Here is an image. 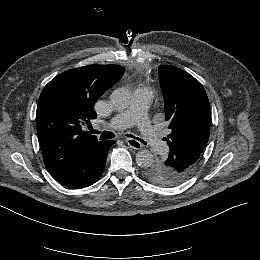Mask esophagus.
Returning a JSON list of instances; mask_svg holds the SVG:
<instances>
[{
    "label": "esophagus",
    "mask_w": 260,
    "mask_h": 260,
    "mask_svg": "<svg viewBox=\"0 0 260 260\" xmlns=\"http://www.w3.org/2000/svg\"><path fill=\"white\" fill-rule=\"evenodd\" d=\"M126 143L135 150H140L142 148V144L138 140L133 138H127Z\"/></svg>",
    "instance_id": "esophagus-1"
}]
</instances>
